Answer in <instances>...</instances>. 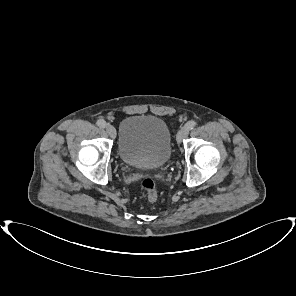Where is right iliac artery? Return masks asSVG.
<instances>
[{"instance_id":"right-iliac-artery-1","label":"right iliac artery","mask_w":296,"mask_h":296,"mask_svg":"<svg viewBox=\"0 0 296 296\" xmlns=\"http://www.w3.org/2000/svg\"><path fill=\"white\" fill-rule=\"evenodd\" d=\"M97 125L100 127V128H105L106 127V122L103 120V119H99L97 121Z\"/></svg>"}]
</instances>
